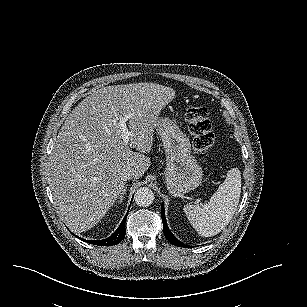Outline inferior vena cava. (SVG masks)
I'll return each instance as SVG.
<instances>
[{
  "mask_svg": "<svg viewBox=\"0 0 307 307\" xmlns=\"http://www.w3.org/2000/svg\"><path fill=\"white\" fill-rule=\"evenodd\" d=\"M133 177H134L133 173H126L123 177V180L128 181V180H131Z\"/></svg>",
  "mask_w": 307,
  "mask_h": 307,
  "instance_id": "602c4592",
  "label": "inferior vena cava"
}]
</instances>
